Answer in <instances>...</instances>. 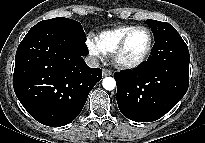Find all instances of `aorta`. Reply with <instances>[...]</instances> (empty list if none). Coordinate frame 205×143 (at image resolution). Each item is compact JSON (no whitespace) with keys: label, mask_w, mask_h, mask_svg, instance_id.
Masks as SVG:
<instances>
[{"label":"aorta","mask_w":205,"mask_h":143,"mask_svg":"<svg viewBox=\"0 0 205 143\" xmlns=\"http://www.w3.org/2000/svg\"><path fill=\"white\" fill-rule=\"evenodd\" d=\"M103 88L105 90H113L116 87V81L112 77H105L102 81Z\"/></svg>","instance_id":"1"}]
</instances>
